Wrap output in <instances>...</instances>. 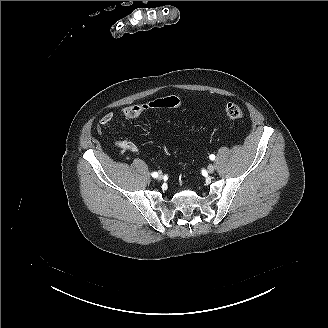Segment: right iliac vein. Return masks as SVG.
I'll use <instances>...</instances> for the list:
<instances>
[{
    "label": "right iliac vein",
    "mask_w": 328,
    "mask_h": 328,
    "mask_svg": "<svg viewBox=\"0 0 328 328\" xmlns=\"http://www.w3.org/2000/svg\"><path fill=\"white\" fill-rule=\"evenodd\" d=\"M162 178H163L162 175H161V174H158V176H157V180L161 181Z\"/></svg>",
    "instance_id": "1"
}]
</instances>
